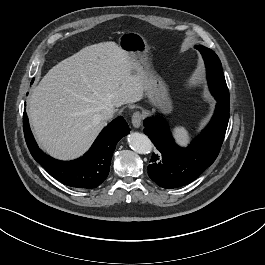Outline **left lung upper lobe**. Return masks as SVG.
<instances>
[{"mask_svg":"<svg viewBox=\"0 0 265 265\" xmlns=\"http://www.w3.org/2000/svg\"><path fill=\"white\" fill-rule=\"evenodd\" d=\"M195 48L202 54L205 61L211 93L216 98L220 97L229 103V91L218 56L214 51L202 45L196 46Z\"/></svg>","mask_w":265,"mask_h":265,"instance_id":"1","label":"left lung upper lobe"}]
</instances>
